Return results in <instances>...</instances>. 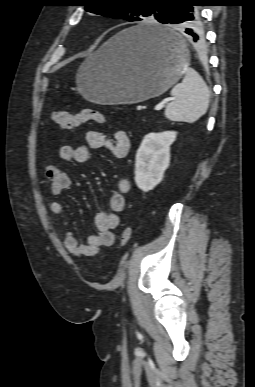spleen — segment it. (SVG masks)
Segmentation results:
<instances>
[{
    "label": "spleen",
    "mask_w": 255,
    "mask_h": 387,
    "mask_svg": "<svg viewBox=\"0 0 255 387\" xmlns=\"http://www.w3.org/2000/svg\"><path fill=\"white\" fill-rule=\"evenodd\" d=\"M171 95L174 99L165 109V116L171 121L194 123L208 109L209 89L192 68L186 69L183 81L173 87Z\"/></svg>",
    "instance_id": "spleen-1"
}]
</instances>
